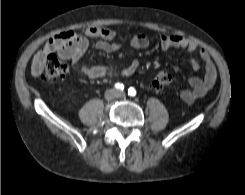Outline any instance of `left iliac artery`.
Masks as SVG:
<instances>
[{
	"mask_svg": "<svg viewBox=\"0 0 245 195\" xmlns=\"http://www.w3.org/2000/svg\"><path fill=\"white\" fill-rule=\"evenodd\" d=\"M128 95L132 96V97L135 96L136 95V90L134 88H132V87L129 88L128 89Z\"/></svg>",
	"mask_w": 245,
	"mask_h": 195,
	"instance_id": "1",
	"label": "left iliac artery"
}]
</instances>
